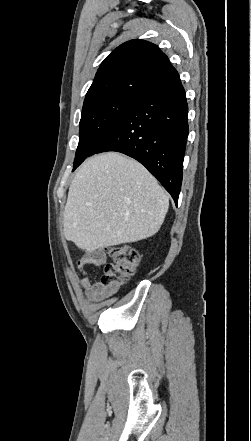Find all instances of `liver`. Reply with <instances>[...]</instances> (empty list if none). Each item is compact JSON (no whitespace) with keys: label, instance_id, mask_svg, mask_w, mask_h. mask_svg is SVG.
Wrapping results in <instances>:
<instances>
[{"label":"liver","instance_id":"1","mask_svg":"<svg viewBox=\"0 0 251 441\" xmlns=\"http://www.w3.org/2000/svg\"><path fill=\"white\" fill-rule=\"evenodd\" d=\"M169 197L139 162L116 152L87 159L71 182L64 235L88 252L156 234Z\"/></svg>","mask_w":251,"mask_h":441}]
</instances>
